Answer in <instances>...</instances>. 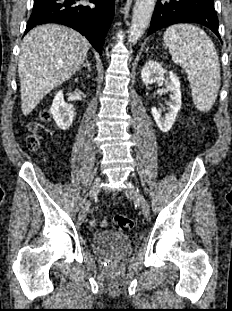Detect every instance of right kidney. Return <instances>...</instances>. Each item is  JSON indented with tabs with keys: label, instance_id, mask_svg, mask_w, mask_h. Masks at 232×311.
Masks as SVG:
<instances>
[{
	"label": "right kidney",
	"instance_id": "ca27d5eb",
	"mask_svg": "<svg viewBox=\"0 0 232 311\" xmlns=\"http://www.w3.org/2000/svg\"><path fill=\"white\" fill-rule=\"evenodd\" d=\"M50 112L53 115L55 123L60 129L66 130L71 126L74 113L72 111V107L64 101L62 91H59L56 94L50 108Z\"/></svg>",
	"mask_w": 232,
	"mask_h": 311
}]
</instances>
